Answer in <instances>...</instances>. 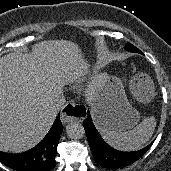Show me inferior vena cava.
<instances>
[{
  "label": "inferior vena cava",
  "instance_id": "obj_1",
  "mask_svg": "<svg viewBox=\"0 0 171 171\" xmlns=\"http://www.w3.org/2000/svg\"><path fill=\"white\" fill-rule=\"evenodd\" d=\"M64 104H65V98L63 96H60L57 99L56 103L54 104V107L53 108L55 110H58L59 111L61 108H63Z\"/></svg>",
  "mask_w": 171,
  "mask_h": 171
}]
</instances>
